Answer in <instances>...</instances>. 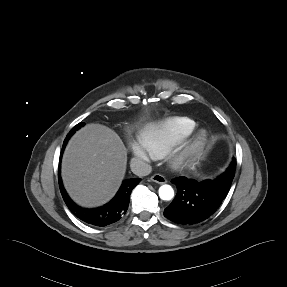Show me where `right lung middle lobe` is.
Returning <instances> with one entry per match:
<instances>
[{
    "instance_id": "dd1d6c3e",
    "label": "right lung middle lobe",
    "mask_w": 287,
    "mask_h": 287,
    "mask_svg": "<svg viewBox=\"0 0 287 287\" xmlns=\"http://www.w3.org/2000/svg\"><path fill=\"white\" fill-rule=\"evenodd\" d=\"M83 125H84V123L77 124L70 132L76 131L77 129H79V128L82 127ZM70 132H69V133H70Z\"/></svg>"
}]
</instances>
